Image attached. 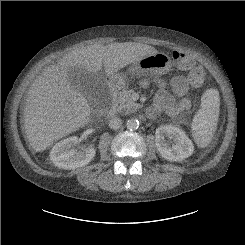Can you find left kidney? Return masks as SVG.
I'll return each instance as SVG.
<instances>
[{"instance_id": "obj_1", "label": "left kidney", "mask_w": 245, "mask_h": 245, "mask_svg": "<svg viewBox=\"0 0 245 245\" xmlns=\"http://www.w3.org/2000/svg\"><path fill=\"white\" fill-rule=\"evenodd\" d=\"M172 140V145L165 138ZM155 145L162 158L169 161H182L193 154L194 145L185 132L172 125H163L156 129Z\"/></svg>"}]
</instances>
